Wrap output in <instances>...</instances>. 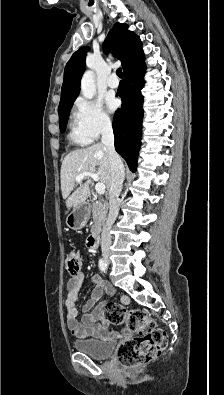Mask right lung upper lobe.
<instances>
[{
    "label": "right lung upper lobe",
    "instance_id": "obj_1",
    "mask_svg": "<svg viewBox=\"0 0 224 395\" xmlns=\"http://www.w3.org/2000/svg\"><path fill=\"white\" fill-rule=\"evenodd\" d=\"M103 49L105 53L111 50L115 57L121 60L123 70L143 55L139 37L134 32L128 31L126 24L121 23L114 25L103 44ZM88 50V47L80 48L66 64L59 109L68 106L79 94L80 80L85 70V56Z\"/></svg>",
    "mask_w": 224,
    "mask_h": 395
}]
</instances>
